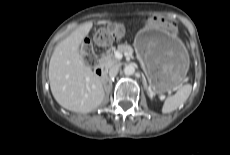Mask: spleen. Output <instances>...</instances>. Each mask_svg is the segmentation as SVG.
<instances>
[{"label": "spleen", "instance_id": "obj_1", "mask_svg": "<svg viewBox=\"0 0 230 155\" xmlns=\"http://www.w3.org/2000/svg\"><path fill=\"white\" fill-rule=\"evenodd\" d=\"M191 91L192 86L190 84H186L174 95L167 97L162 107V113H171L182 106L189 98Z\"/></svg>", "mask_w": 230, "mask_h": 155}]
</instances>
